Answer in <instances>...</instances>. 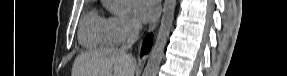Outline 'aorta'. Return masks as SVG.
<instances>
[{
    "instance_id": "762f6f07",
    "label": "aorta",
    "mask_w": 287,
    "mask_h": 76,
    "mask_svg": "<svg viewBox=\"0 0 287 76\" xmlns=\"http://www.w3.org/2000/svg\"><path fill=\"white\" fill-rule=\"evenodd\" d=\"M176 0H166L161 19V25L151 50L148 62L143 72V76H157L160 63L164 56V49L170 35V30L174 20Z\"/></svg>"
}]
</instances>
